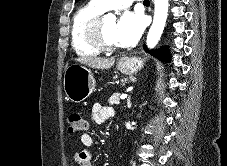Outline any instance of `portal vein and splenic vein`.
I'll use <instances>...</instances> for the list:
<instances>
[{"label":"portal vein and splenic vein","instance_id":"18ae733b","mask_svg":"<svg viewBox=\"0 0 227 166\" xmlns=\"http://www.w3.org/2000/svg\"><path fill=\"white\" fill-rule=\"evenodd\" d=\"M127 97V94L122 95L120 98L123 100Z\"/></svg>","mask_w":227,"mask_h":166}]
</instances>
